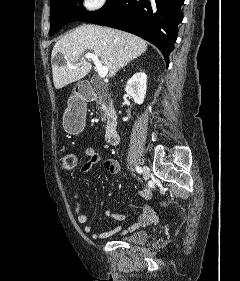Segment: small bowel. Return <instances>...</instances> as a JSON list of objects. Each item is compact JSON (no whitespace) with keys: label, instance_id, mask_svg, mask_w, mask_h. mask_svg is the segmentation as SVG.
I'll list each match as a JSON object with an SVG mask.
<instances>
[{"label":"small bowel","instance_id":"small-bowel-1","mask_svg":"<svg viewBox=\"0 0 240 281\" xmlns=\"http://www.w3.org/2000/svg\"><path fill=\"white\" fill-rule=\"evenodd\" d=\"M84 154L88 158V160L81 167L82 173H88L94 165L101 162L103 168L107 172L114 175L123 174L121 167L117 161L113 159H103L96 149L89 147L85 150ZM138 194L144 200H149L151 198V193L149 190L139 191ZM72 197L75 201L74 214H75L76 221L78 224L84 226L83 230L85 233L92 234V237L94 239H103L119 231V228H116L108 232H101V233L94 232L93 227L87 225L88 218L83 211L84 205L81 199V193L75 187L72 188ZM106 215L118 221H123L125 219L124 215L118 214L112 210H107ZM154 218H155V210L153 209V207L148 204L144 205L142 208V212L139 215L136 222L133 223L131 226H129L127 230H125L123 233H130L141 227L147 226L153 221Z\"/></svg>","mask_w":240,"mask_h":281}]
</instances>
